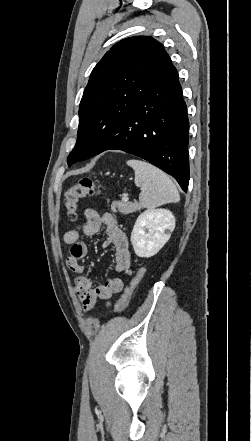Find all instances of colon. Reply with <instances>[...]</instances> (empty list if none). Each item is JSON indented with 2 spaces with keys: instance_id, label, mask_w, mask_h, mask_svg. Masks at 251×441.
<instances>
[{
  "instance_id": "obj_1",
  "label": "colon",
  "mask_w": 251,
  "mask_h": 441,
  "mask_svg": "<svg viewBox=\"0 0 251 441\" xmlns=\"http://www.w3.org/2000/svg\"><path fill=\"white\" fill-rule=\"evenodd\" d=\"M98 192L99 189L96 183L92 179L86 177L82 178L77 184L67 189L64 195V207L68 219L71 221L76 219L78 205L83 198L87 196H94L98 194ZM144 272V269H141L139 273L129 282L116 304V314L121 313L127 307L132 293L138 282L143 277Z\"/></svg>"
}]
</instances>
